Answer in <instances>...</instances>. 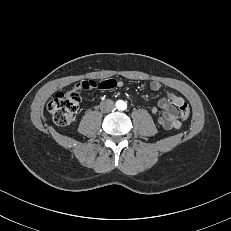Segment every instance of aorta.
<instances>
[{
    "label": "aorta",
    "instance_id": "aorta-1",
    "mask_svg": "<svg viewBox=\"0 0 231 231\" xmlns=\"http://www.w3.org/2000/svg\"><path fill=\"white\" fill-rule=\"evenodd\" d=\"M117 107L120 108V107H123L124 106V102L123 101H117Z\"/></svg>",
    "mask_w": 231,
    "mask_h": 231
}]
</instances>
